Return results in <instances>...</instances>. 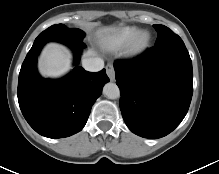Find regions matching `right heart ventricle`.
Segmentation results:
<instances>
[{"mask_svg":"<svg viewBox=\"0 0 219 174\" xmlns=\"http://www.w3.org/2000/svg\"><path fill=\"white\" fill-rule=\"evenodd\" d=\"M138 32L134 26H124L111 30L101 40L102 47L108 50H117L126 46Z\"/></svg>","mask_w":219,"mask_h":174,"instance_id":"1","label":"right heart ventricle"}]
</instances>
